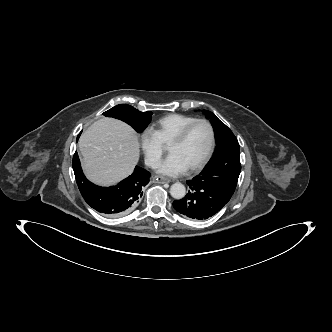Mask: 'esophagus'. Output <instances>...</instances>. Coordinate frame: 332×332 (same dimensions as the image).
Returning a JSON list of instances; mask_svg holds the SVG:
<instances>
[{
	"label": "esophagus",
	"instance_id": "obj_1",
	"mask_svg": "<svg viewBox=\"0 0 332 332\" xmlns=\"http://www.w3.org/2000/svg\"><path fill=\"white\" fill-rule=\"evenodd\" d=\"M153 182L155 183H169L170 179L163 177V176H154Z\"/></svg>",
	"mask_w": 332,
	"mask_h": 332
}]
</instances>
